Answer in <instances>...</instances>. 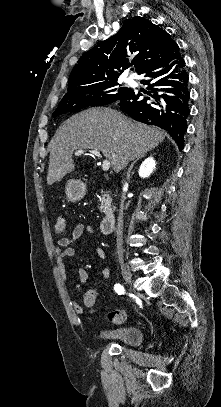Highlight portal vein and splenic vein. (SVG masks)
<instances>
[{"instance_id":"18ae733b","label":"portal vein and splenic vein","mask_w":221,"mask_h":407,"mask_svg":"<svg viewBox=\"0 0 221 407\" xmlns=\"http://www.w3.org/2000/svg\"><path fill=\"white\" fill-rule=\"evenodd\" d=\"M84 152H86V150L79 149V150L75 151V155H82V154H84ZM89 152L92 153L93 155L97 156L98 158H102L101 153L99 151H97V150H89ZM110 165H111L110 161L107 160V159H104L102 161V169H103V171H108L109 168H110Z\"/></svg>"}]
</instances>
